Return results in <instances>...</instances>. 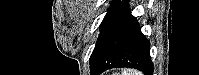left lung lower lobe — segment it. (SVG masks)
Here are the masks:
<instances>
[{
	"mask_svg": "<svg viewBox=\"0 0 199 75\" xmlns=\"http://www.w3.org/2000/svg\"><path fill=\"white\" fill-rule=\"evenodd\" d=\"M90 74L100 75L111 68L131 67L153 75L150 42L131 15L128 1L120 2L105 24L91 54Z\"/></svg>",
	"mask_w": 199,
	"mask_h": 75,
	"instance_id": "left-lung-lower-lobe-1",
	"label": "left lung lower lobe"
}]
</instances>
